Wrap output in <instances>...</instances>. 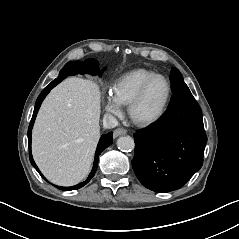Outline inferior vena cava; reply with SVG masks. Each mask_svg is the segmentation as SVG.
<instances>
[{"instance_id":"inferior-vena-cava-1","label":"inferior vena cava","mask_w":239,"mask_h":239,"mask_svg":"<svg viewBox=\"0 0 239 239\" xmlns=\"http://www.w3.org/2000/svg\"><path fill=\"white\" fill-rule=\"evenodd\" d=\"M118 125L117 119L111 114H105L103 117V127L106 129L114 128Z\"/></svg>"}]
</instances>
